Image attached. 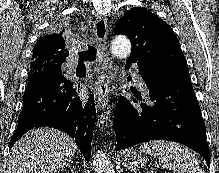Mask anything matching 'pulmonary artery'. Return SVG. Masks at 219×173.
<instances>
[{
  "label": "pulmonary artery",
  "mask_w": 219,
  "mask_h": 173,
  "mask_svg": "<svg viewBox=\"0 0 219 173\" xmlns=\"http://www.w3.org/2000/svg\"><path fill=\"white\" fill-rule=\"evenodd\" d=\"M134 79L138 86L142 88V90H146V87L143 84L142 77L138 73H134Z\"/></svg>",
  "instance_id": "e3ab8cb5"
}]
</instances>
